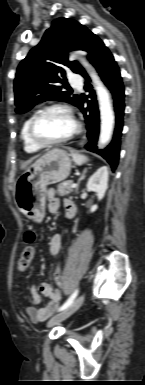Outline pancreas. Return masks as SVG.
I'll use <instances>...</instances> for the list:
<instances>
[{
	"instance_id": "pancreas-1",
	"label": "pancreas",
	"mask_w": 145,
	"mask_h": 385,
	"mask_svg": "<svg viewBox=\"0 0 145 385\" xmlns=\"http://www.w3.org/2000/svg\"><path fill=\"white\" fill-rule=\"evenodd\" d=\"M74 191V188L71 187V182L67 185H59L57 187V193L59 196H68Z\"/></svg>"
}]
</instances>
